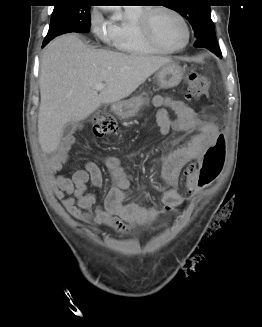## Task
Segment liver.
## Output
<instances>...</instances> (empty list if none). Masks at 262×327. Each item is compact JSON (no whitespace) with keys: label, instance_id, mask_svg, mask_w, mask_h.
<instances>
[{"label":"liver","instance_id":"liver-1","mask_svg":"<svg viewBox=\"0 0 262 327\" xmlns=\"http://www.w3.org/2000/svg\"><path fill=\"white\" fill-rule=\"evenodd\" d=\"M168 57L124 54L87 47L75 34L51 41L42 56L38 140L45 153L57 150L63 129L86 119L101 104L132 94ZM99 83L104 89H93Z\"/></svg>","mask_w":262,"mask_h":327}]
</instances>
